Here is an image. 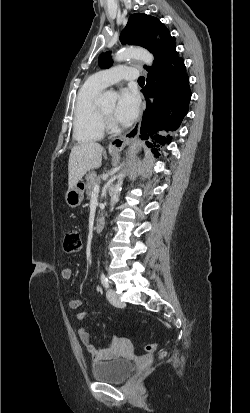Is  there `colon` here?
<instances>
[{
    "mask_svg": "<svg viewBox=\"0 0 250 413\" xmlns=\"http://www.w3.org/2000/svg\"><path fill=\"white\" fill-rule=\"evenodd\" d=\"M81 235L78 231L71 230L66 233L65 238H64V249L66 252L69 253H74L80 250L81 248ZM158 344L157 343H151L147 344L144 347V350L147 353H152L155 350H157ZM159 355L163 357L165 355L164 351H160Z\"/></svg>",
    "mask_w": 250,
    "mask_h": 413,
    "instance_id": "colon-1",
    "label": "colon"
}]
</instances>
